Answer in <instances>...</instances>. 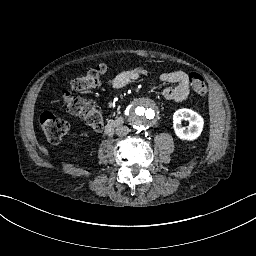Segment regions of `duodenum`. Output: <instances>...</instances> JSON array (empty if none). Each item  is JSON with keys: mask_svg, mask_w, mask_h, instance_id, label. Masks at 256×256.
<instances>
[{"mask_svg": "<svg viewBox=\"0 0 256 256\" xmlns=\"http://www.w3.org/2000/svg\"><path fill=\"white\" fill-rule=\"evenodd\" d=\"M124 124L125 120L122 117L111 119L104 125V133L111 135L117 127L123 126Z\"/></svg>", "mask_w": 256, "mask_h": 256, "instance_id": "410a0bca", "label": "duodenum"}]
</instances>
